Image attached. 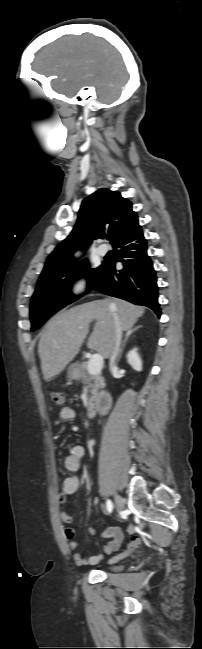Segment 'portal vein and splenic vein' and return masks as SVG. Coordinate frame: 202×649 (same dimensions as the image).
Masks as SVG:
<instances>
[{"mask_svg":"<svg viewBox=\"0 0 202 649\" xmlns=\"http://www.w3.org/2000/svg\"><path fill=\"white\" fill-rule=\"evenodd\" d=\"M103 367V357L100 354H94L88 362V372L95 375L101 372Z\"/></svg>","mask_w":202,"mask_h":649,"instance_id":"portal-vein-and-splenic-vein-1","label":"portal vein and splenic vein"}]
</instances>
